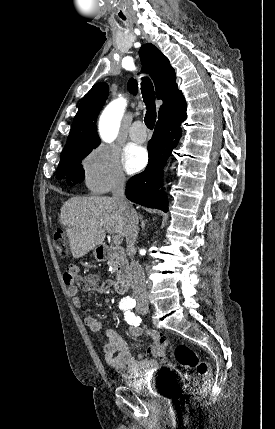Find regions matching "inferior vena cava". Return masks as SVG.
<instances>
[{"label":"inferior vena cava","instance_id":"inferior-vena-cava-1","mask_svg":"<svg viewBox=\"0 0 275 429\" xmlns=\"http://www.w3.org/2000/svg\"><path fill=\"white\" fill-rule=\"evenodd\" d=\"M125 178H120L112 191V198L118 204L120 211L123 213L125 220V237L127 243V252L129 255L135 252V242L138 235V215L126 199L125 192ZM130 271L132 274V290L133 296L137 301V304L147 305V290L145 285V274L143 267L138 261L132 259L130 263Z\"/></svg>","mask_w":275,"mask_h":429}]
</instances>
